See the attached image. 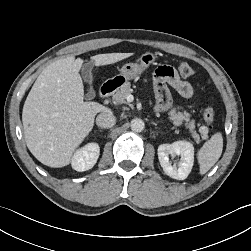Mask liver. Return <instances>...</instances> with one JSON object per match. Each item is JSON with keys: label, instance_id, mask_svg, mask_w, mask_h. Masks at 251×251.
<instances>
[{"label": "liver", "instance_id": "obj_1", "mask_svg": "<svg viewBox=\"0 0 251 251\" xmlns=\"http://www.w3.org/2000/svg\"><path fill=\"white\" fill-rule=\"evenodd\" d=\"M132 53L91 57L96 66L114 64ZM83 61L70 56L48 65L38 76L23 106L25 141L33 156L54 168L68 165L88 136L99 112H111L97 102L84 101L79 74Z\"/></svg>", "mask_w": 251, "mask_h": 251}]
</instances>
